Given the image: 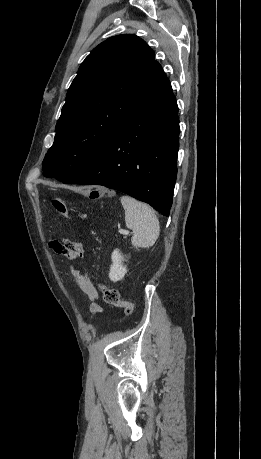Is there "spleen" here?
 <instances>
[{"label": "spleen", "instance_id": "1", "mask_svg": "<svg viewBox=\"0 0 261 459\" xmlns=\"http://www.w3.org/2000/svg\"><path fill=\"white\" fill-rule=\"evenodd\" d=\"M120 200L126 226L133 230L132 245L138 248L153 246L159 237L160 225L152 208L130 196H122Z\"/></svg>", "mask_w": 261, "mask_h": 459}]
</instances>
